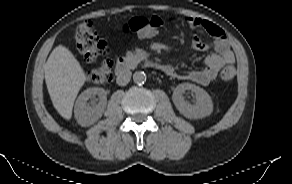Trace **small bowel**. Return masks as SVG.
Returning a JSON list of instances; mask_svg holds the SVG:
<instances>
[{
	"mask_svg": "<svg viewBox=\"0 0 292 184\" xmlns=\"http://www.w3.org/2000/svg\"><path fill=\"white\" fill-rule=\"evenodd\" d=\"M154 17L161 23V26L165 23L164 18L160 16ZM183 20L190 27L203 29L213 37L212 42L206 43L200 37L194 35L191 41L192 47L198 51H206L213 48L214 53L209 54L205 58V67L202 69L191 70L185 74H180L173 67L168 66L166 73L179 79L189 80L204 86L208 85L217 77L223 65L235 62L234 54L229 46L225 33L219 26L210 21L192 16H186Z\"/></svg>",
	"mask_w": 292,
	"mask_h": 184,
	"instance_id": "small-bowel-1",
	"label": "small bowel"
}]
</instances>
